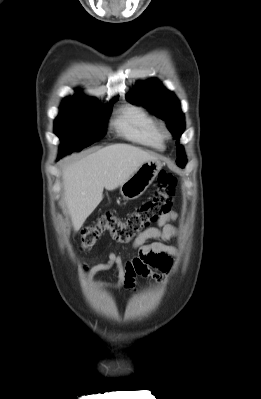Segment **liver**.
Masks as SVG:
<instances>
[{"label": "liver", "instance_id": "6515ba94", "mask_svg": "<svg viewBox=\"0 0 261 399\" xmlns=\"http://www.w3.org/2000/svg\"><path fill=\"white\" fill-rule=\"evenodd\" d=\"M158 158L138 147L113 144L99 149L63 170L65 202L74 231L103 199V189H116L127 181L140 165Z\"/></svg>", "mask_w": 261, "mask_h": 399}]
</instances>
